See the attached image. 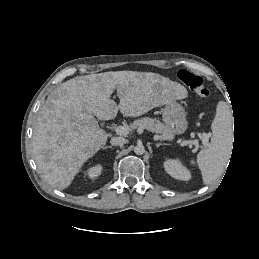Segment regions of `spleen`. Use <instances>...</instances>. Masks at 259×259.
<instances>
[{"label":"spleen","instance_id":"spleen-1","mask_svg":"<svg viewBox=\"0 0 259 259\" xmlns=\"http://www.w3.org/2000/svg\"><path fill=\"white\" fill-rule=\"evenodd\" d=\"M212 137L207 148L197 155L203 183L208 185L219 178L228 163L233 145L232 114L226 102L220 101L211 125ZM191 164H195L192 160Z\"/></svg>","mask_w":259,"mask_h":259}]
</instances>
